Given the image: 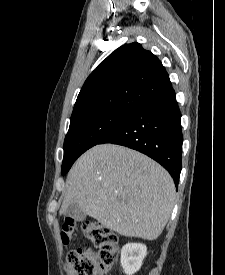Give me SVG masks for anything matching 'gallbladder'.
I'll list each match as a JSON object with an SVG mask.
<instances>
[{
	"instance_id": "1",
	"label": "gallbladder",
	"mask_w": 225,
	"mask_h": 275,
	"mask_svg": "<svg viewBox=\"0 0 225 275\" xmlns=\"http://www.w3.org/2000/svg\"><path fill=\"white\" fill-rule=\"evenodd\" d=\"M64 215L74 219L75 221H83L86 217V214L77 202L71 203L65 210Z\"/></svg>"
}]
</instances>
